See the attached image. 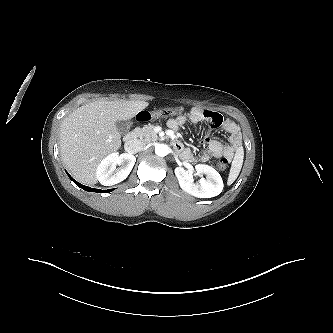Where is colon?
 <instances>
[{"mask_svg": "<svg viewBox=\"0 0 333 333\" xmlns=\"http://www.w3.org/2000/svg\"><path fill=\"white\" fill-rule=\"evenodd\" d=\"M182 109L180 107H163L153 110H143L137 115V119L140 122H146L151 119L165 118L177 115L181 113ZM215 168L221 172H226L228 168V160L226 158H220L215 163Z\"/></svg>", "mask_w": 333, "mask_h": 333, "instance_id": "obj_1", "label": "colon"}]
</instances>
